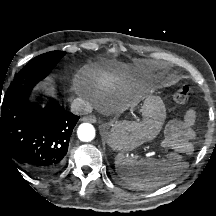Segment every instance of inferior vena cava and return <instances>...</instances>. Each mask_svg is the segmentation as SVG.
<instances>
[{"instance_id":"1","label":"inferior vena cava","mask_w":216,"mask_h":216,"mask_svg":"<svg viewBox=\"0 0 216 216\" xmlns=\"http://www.w3.org/2000/svg\"><path fill=\"white\" fill-rule=\"evenodd\" d=\"M71 111L76 115H84L92 111V106L89 102L76 98L71 104Z\"/></svg>"}]
</instances>
